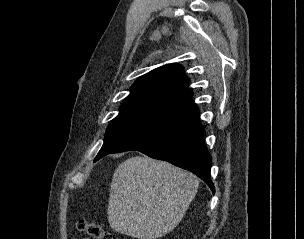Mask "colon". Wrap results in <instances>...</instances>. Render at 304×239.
<instances>
[{"label":"colon","instance_id":"5ec220e1","mask_svg":"<svg viewBox=\"0 0 304 239\" xmlns=\"http://www.w3.org/2000/svg\"><path fill=\"white\" fill-rule=\"evenodd\" d=\"M77 228L87 236L86 239H114L112 234L96 221L80 219L77 222Z\"/></svg>","mask_w":304,"mask_h":239}]
</instances>
